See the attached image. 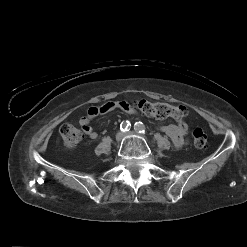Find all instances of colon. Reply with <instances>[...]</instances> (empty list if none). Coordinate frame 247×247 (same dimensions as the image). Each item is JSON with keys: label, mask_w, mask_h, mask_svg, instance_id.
Here are the masks:
<instances>
[{"label": "colon", "mask_w": 247, "mask_h": 247, "mask_svg": "<svg viewBox=\"0 0 247 247\" xmlns=\"http://www.w3.org/2000/svg\"><path fill=\"white\" fill-rule=\"evenodd\" d=\"M136 107L143 114L157 119L173 118L182 120L187 115V110L184 106H175L146 99L137 101ZM60 135L64 146L68 149L75 148L83 139L82 132L71 124H63L60 127ZM192 137L195 146L198 148H203L207 143V135L201 128H195L192 132Z\"/></svg>", "instance_id": "1"}]
</instances>
